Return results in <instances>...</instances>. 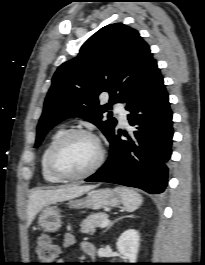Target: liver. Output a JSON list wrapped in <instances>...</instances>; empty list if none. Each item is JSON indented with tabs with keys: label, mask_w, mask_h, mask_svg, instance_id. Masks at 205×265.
<instances>
[{
	"label": "liver",
	"mask_w": 205,
	"mask_h": 265,
	"mask_svg": "<svg viewBox=\"0 0 205 265\" xmlns=\"http://www.w3.org/2000/svg\"><path fill=\"white\" fill-rule=\"evenodd\" d=\"M95 188L93 185H68L52 190H34L28 201L27 224L30 225L35 216L50 204L79 197Z\"/></svg>",
	"instance_id": "liver-1"
}]
</instances>
